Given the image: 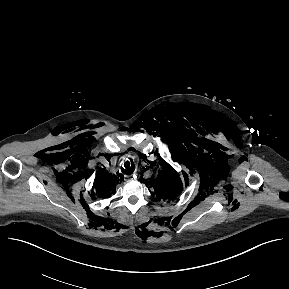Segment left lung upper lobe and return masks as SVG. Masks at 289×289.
<instances>
[{
    "label": "left lung upper lobe",
    "mask_w": 289,
    "mask_h": 289,
    "mask_svg": "<svg viewBox=\"0 0 289 289\" xmlns=\"http://www.w3.org/2000/svg\"><path fill=\"white\" fill-rule=\"evenodd\" d=\"M163 170L159 171L158 177L153 181V188L159 199H173L183 188L182 180L178 173L165 162Z\"/></svg>",
    "instance_id": "left-lung-upper-lobe-1"
}]
</instances>
